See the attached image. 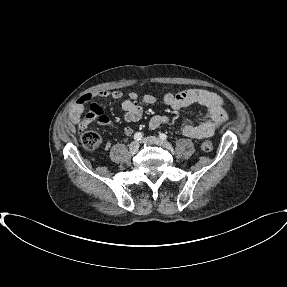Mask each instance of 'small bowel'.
Wrapping results in <instances>:
<instances>
[{
	"label": "small bowel",
	"mask_w": 287,
	"mask_h": 287,
	"mask_svg": "<svg viewBox=\"0 0 287 287\" xmlns=\"http://www.w3.org/2000/svg\"><path fill=\"white\" fill-rule=\"evenodd\" d=\"M124 94L115 90L112 92L100 91L94 94H85L81 96L73 106L69 116V129L71 131H84L87 126L96 121L101 126H114L111 119L104 114L103 109L93 100L95 98L110 97L114 100H122ZM138 93L130 91L127 98L122 100L121 108L124 112V119L127 122H136L142 117V108L137 103ZM143 103L152 104L156 101V97L152 94H145L142 98ZM164 104L175 110L189 107L193 104H200L206 108L203 121L199 125L182 124L180 129L183 135L193 139H204L212 136L216 130L227 120V114L223 109V100L214 93L203 90H186L177 94L166 93L162 97ZM89 104L90 110L82 116L84 107ZM168 119L165 116L155 115L149 121L151 129H157ZM122 132L130 136L133 133L131 127H123ZM110 144H106L109 148Z\"/></svg>",
	"instance_id": "small-bowel-1"
}]
</instances>
